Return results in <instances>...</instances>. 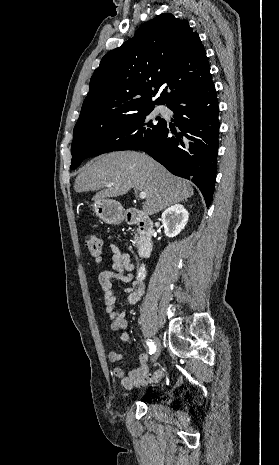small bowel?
<instances>
[{"label": "small bowel", "instance_id": "obj_1", "mask_svg": "<svg viewBox=\"0 0 279 465\" xmlns=\"http://www.w3.org/2000/svg\"><path fill=\"white\" fill-rule=\"evenodd\" d=\"M109 248L112 253V269L103 270L98 276L100 289L104 294L105 313L108 315L111 332L121 331L120 339L122 342L131 344V337L126 331L128 322L126 319V307L136 304L144 293V284L142 280L134 279L131 272L134 269L128 254L123 253L120 249L110 244ZM117 282L129 284L124 289L126 294V301L124 305L119 308L117 306L118 291L114 287ZM109 361L114 364L112 371L113 374L120 380L121 385L131 390L134 387L142 386L148 382H156L160 380L165 372L157 370L155 373L148 372L149 355L147 353H140L137 356L139 366L125 372L121 367L117 366L123 359L122 355L116 351H111L108 355Z\"/></svg>", "mask_w": 279, "mask_h": 465}]
</instances>
